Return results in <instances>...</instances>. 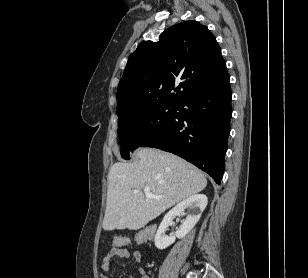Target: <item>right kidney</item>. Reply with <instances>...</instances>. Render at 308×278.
Returning a JSON list of instances; mask_svg holds the SVG:
<instances>
[{"mask_svg": "<svg viewBox=\"0 0 308 278\" xmlns=\"http://www.w3.org/2000/svg\"><path fill=\"white\" fill-rule=\"evenodd\" d=\"M208 199L204 194H198L187 198L181 203L177 204L172 210H170L163 218L157 233L155 235V246L163 250L175 242L176 237L181 239L185 237L192 228L199 221L202 212L206 208ZM186 208H190L192 213L189 214L183 221L179 229L174 236H168L165 234L168 226L172 225V220L175 216H180L184 213Z\"/></svg>", "mask_w": 308, "mask_h": 278, "instance_id": "obj_1", "label": "right kidney"}]
</instances>
